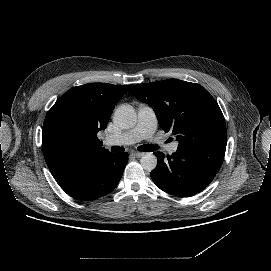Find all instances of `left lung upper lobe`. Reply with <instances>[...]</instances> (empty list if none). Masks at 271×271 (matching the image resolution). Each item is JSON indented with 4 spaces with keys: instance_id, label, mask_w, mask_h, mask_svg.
I'll return each mask as SVG.
<instances>
[{
    "instance_id": "left-lung-upper-lobe-1",
    "label": "left lung upper lobe",
    "mask_w": 271,
    "mask_h": 271,
    "mask_svg": "<svg viewBox=\"0 0 271 271\" xmlns=\"http://www.w3.org/2000/svg\"><path fill=\"white\" fill-rule=\"evenodd\" d=\"M131 94L149 104L160 127L176 134L181 147H226L225 120L216 100L199 84L167 79L135 85Z\"/></svg>"
}]
</instances>
